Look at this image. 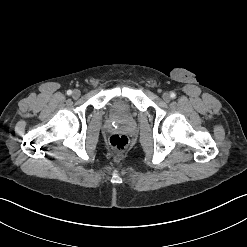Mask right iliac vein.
<instances>
[{
  "label": "right iliac vein",
  "mask_w": 247,
  "mask_h": 247,
  "mask_svg": "<svg viewBox=\"0 0 247 247\" xmlns=\"http://www.w3.org/2000/svg\"><path fill=\"white\" fill-rule=\"evenodd\" d=\"M80 95H81V92H80V90H78V89H75V90L73 91V93H72V96H73V98H75V99L79 98Z\"/></svg>",
  "instance_id": "1"
}]
</instances>
